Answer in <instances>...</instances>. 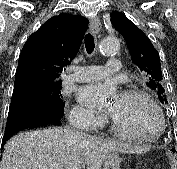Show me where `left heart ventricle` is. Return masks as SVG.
<instances>
[{
    "mask_svg": "<svg viewBox=\"0 0 177 169\" xmlns=\"http://www.w3.org/2000/svg\"><path fill=\"white\" fill-rule=\"evenodd\" d=\"M111 116L131 134L154 135L161 127L157 112L140 97L120 95Z\"/></svg>",
    "mask_w": 177,
    "mask_h": 169,
    "instance_id": "1",
    "label": "left heart ventricle"
}]
</instances>
